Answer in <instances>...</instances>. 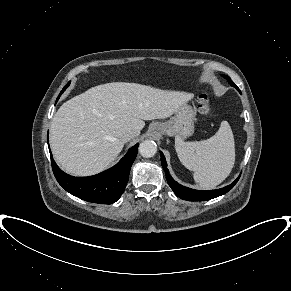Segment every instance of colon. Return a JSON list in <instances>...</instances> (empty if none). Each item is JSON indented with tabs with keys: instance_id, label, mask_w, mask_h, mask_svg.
Segmentation results:
<instances>
[{
	"instance_id": "1",
	"label": "colon",
	"mask_w": 291,
	"mask_h": 291,
	"mask_svg": "<svg viewBox=\"0 0 291 291\" xmlns=\"http://www.w3.org/2000/svg\"><path fill=\"white\" fill-rule=\"evenodd\" d=\"M198 110L204 116H207L211 112V103L206 95L200 96L198 100Z\"/></svg>"
}]
</instances>
